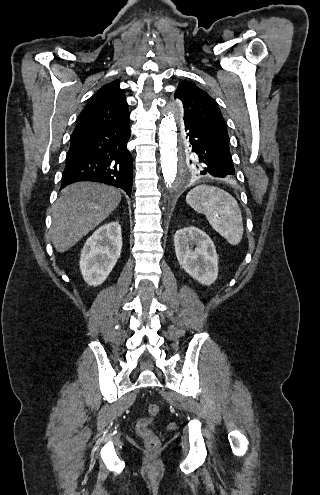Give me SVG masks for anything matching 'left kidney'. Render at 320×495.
<instances>
[{"label": "left kidney", "mask_w": 320, "mask_h": 495, "mask_svg": "<svg viewBox=\"0 0 320 495\" xmlns=\"http://www.w3.org/2000/svg\"><path fill=\"white\" fill-rule=\"evenodd\" d=\"M174 245L177 260L186 273L204 285L216 281L218 255L206 233L196 227L180 229L174 235Z\"/></svg>", "instance_id": "left-kidney-1"}]
</instances>
